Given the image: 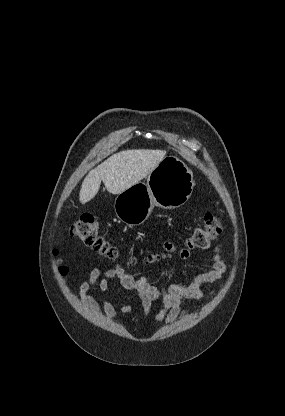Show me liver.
<instances>
[{"label": "liver", "mask_w": 285, "mask_h": 416, "mask_svg": "<svg viewBox=\"0 0 285 416\" xmlns=\"http://www.w3.org/2000/svg\"><path fill=\"white\" fill-rule=\"evenodd\" d=\"M165 150H124L87 174L79 194L81 204L98 194L101 182L110 194H121L146 178L162 162Z\"/></svg>", "instance_id": "1"}]
</instances>
